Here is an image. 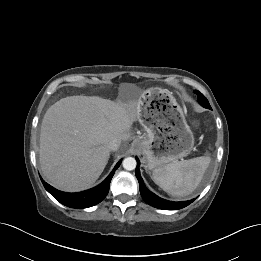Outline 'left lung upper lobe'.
Listing matches in <instances>:
<instances>
[{"mask_svg": "<svg viewBox=\"0 0 261 261\" xmlns=\"http://www.w3.org/2000/svg\"><path fill=\"white\" fill-rule=\"evenodd\" d=\"M196 93L198 94L199 104H201L205 108L211 109V106H210L208 100L206 99V97L203 94H201L199 91H196Z\"/></svg>", "mask_w": 261, "mask_h": 261, "instance_id": "5c2ea615", "label": "left lung upper lobe"}]
</instances>
